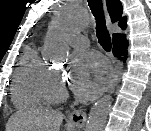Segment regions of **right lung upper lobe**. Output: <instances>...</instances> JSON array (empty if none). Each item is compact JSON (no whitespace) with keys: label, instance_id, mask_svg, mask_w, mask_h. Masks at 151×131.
<instances>
[{"label":"right lung upper lobe","instance_id":"right-lung-upper-lobe-1","mask_svg":"<svg viewBox=\"0 0 151 131\" xmlns=\"http://www.w3.org/2000/svg\"><path fill=\"white\" fill-rule=\"evenodd\" d=\"M108 12L110 14V17L112 19V22H118V26H120L122 29H125L126 24V17H122V5L119 0H106ZM120 38H125V35L123 34H113V41H117Z\"/></svg>","mask_w":151,"mask_h":131}]
</instances>
